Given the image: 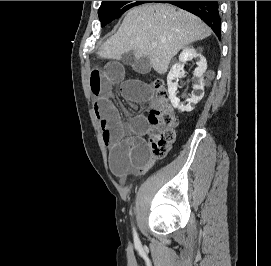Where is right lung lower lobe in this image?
<instances>
[{"label": "right lung lower lobe", "mask_w": 271, "mask_h": 266, "mask_svg": "<svg viewBox=\"0 0 271 266\" xmlns=\"http://www.w3.org/2000/svg\"><path fill=\"white\" fill-rule=\"evenodd\" d=\"M170 3L200 17L220 38L221 22L218 1H151Z\"/></svg>", "instance_id": "1"}]
</instances>
